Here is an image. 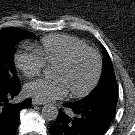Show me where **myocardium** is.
<instances>
[{
  "label": "myocardium",
  "instance_id": "obj_1",
  "mask_svg": "<svg viewBox=\"0 0 135 135\" xmlns=\"http://www.w3.org/2000/svg\"><path fill=\"white\" fill-rule=\"evenodd\" d=\"M83 53H90L94 56L95 61H96L95 73H94V76H93L91 82L88 84V86L84 90H82L80 92H70V95L73 98H84V97L88 96L94 90V88L97 86V84L100 80L101 74H102V67H103L100 54L98 53L97 50H95L91 47L77 48V49L72 50L65 58H63L62 60H60L54 64V66H56V67H67L79 55H81Z\"/></svg>",
  "mask_w": 135,
  "mask_h": 135
}]
</instances>
